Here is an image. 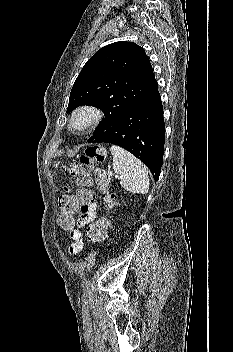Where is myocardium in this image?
Instances as JSON below:
<instances>
[{
  "label": "myocardium",
  "instance_id": "f54148a6",
  "mask_svg": "<svg viewBox=\"0 0 233 352\" xmlns=\"http://www.w3.org/2000/svg\"><path fill=\"white\" fill-rule=\"evenodd\" d=\"M103 111L90 104L76 108L70 117V127L78 132H85L97 126L103 119Z\"/></svg>",
  "mask_w": 233,
  "mask_h": 352
}]
</instances>
